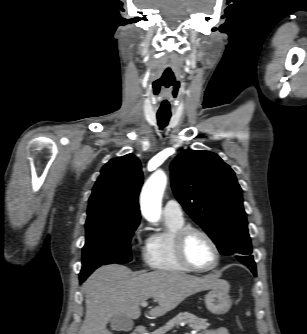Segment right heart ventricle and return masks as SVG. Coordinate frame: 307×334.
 Listing matches in <instances>:
<instances>
[{"label": "right heart ventricle", "instance_id": "obj_1", "mask_svg": "<svg viewBox=\"0 0 307 334\" xmlns=\"http://www.w3.org/2000/svg\"><path fill=\"white\" fill-rule=\"evenodd\" d=\"M167 229L149 237L144 249L146 265L156 271L171 273L190 272L178 260L174 250V235L184 227V221L165 218Z\"/></svg>", "mask_w": 307, "mask_h": 334}]
</instances>
